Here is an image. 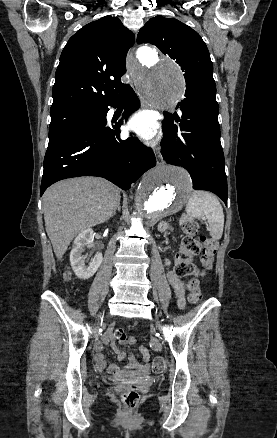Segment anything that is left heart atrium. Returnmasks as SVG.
<instances>
[{
    "mask_svg": "<svg viewBox=\"0 0 277 438\" xmlns=\"http://www.w3.org/2000/svg\"><path fill=\"white\" fill-rule=\"evenodd\" d=\"M130 124L131 127L144 138L152 136L156 129L152 115L149 112L138 113L133 117Z\"/></svg>",
    "mask_w": 277,
    "mask_h": 438,
    "instance_id": "39dd6f15",
    "label": "left heart atrium"
}]
</instances>
